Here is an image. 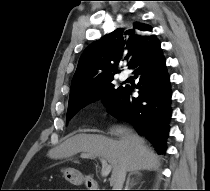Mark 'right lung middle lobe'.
I'll return each mask as SVG.
<instances>
[{
    "label": "right lung middle lobe",
    "instance_id": "1",
    "mask_svg": "<svg viewBox=\"0 0 210 191\" xmlns=\"http://www.w3.org/2000/svg\"><path fill=\"white\" fill-rule=\"evenodd\" d=\"M112 81H113V76L104 80L100 85H98L88 93L70 99L66 121L71 120V118L81 108L94 101L102 99L106 106L110 105L124 88L123 86L115 87V85L112 84Z\"/></svg>",
    "mask_w": 210,
    "mask_h": 191
}]
</instances>
